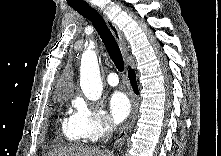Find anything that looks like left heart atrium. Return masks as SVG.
I'll list each match as a JSON object with an SVG mask.
<instances>
[{"instance_id": "left-heart-atrium-1", "label": "left heart atrium", "mask_w": 221, "mask_h": 156, "mask_svg": "<svg viewBox=\"0 0 221 156\" xmlns=\"http://www.w3.org/2000/svg\"><path fill=\"white\" fill-rule=\"evenodd\" d=\"M109 109L116 123L122 122L130 113L131 104L123 92H115L109 100Z\"/></svg>"}]
</instances>
